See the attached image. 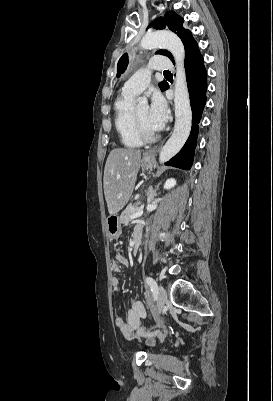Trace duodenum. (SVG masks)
<instances>
[{"label":"duodenum","instance_id":"obj_1","mask_svg":"<svg viewBox=\"0 0 273 401\" xmlns=\"http://www.w3.org/2000/svg\"><path fill=\"white\" fill-rule=\"evenodd\" d=\"M140 244H141V233H138V234L134 235V238H133L132 249H133L134 253H136L138 251Z\"/></svg>","mask_w":273,"mask_h":401}]
</instances>
